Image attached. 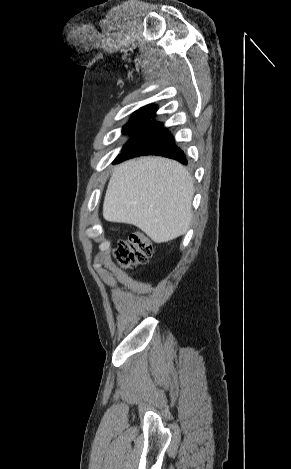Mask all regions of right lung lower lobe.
<instances>
[{"label":"right lung lower lobe","mask_w":291,"mask_h":469,"mask_svg":"<svg viewBox=\"0 0 291 469\" xmlns=\"http://www.w3.org/2000/svg\"><path fill=\"white\" fill-rule=\"evenodd\" d=\"M156 155L177 160L187 165L184 152L175 143L174 137L159 122L149 121L130 138L116 161L142 156Z\"/></svg>","instance_id":"obj_1"}]
</instances>
